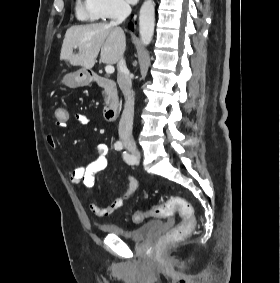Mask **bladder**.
<instances>
[{"label":"bladder","mask_w":280,"mask_h":283,"mask_svg":"<svg viewBox=\"0 0 280 283\" xmlns=\"http://www.w3.org/2000/svg\"><path fill=\"white\" fill-rule=\"evenodd\" d=\"M163 226L161 220H150L141 226L134 229H125L123 226L118 224H106L102 226L103 232L107 234H113L122 239L131 241H140L147 236L153 234Z\"/></svg>","instance_id":"obj_1"}]
</instances>
